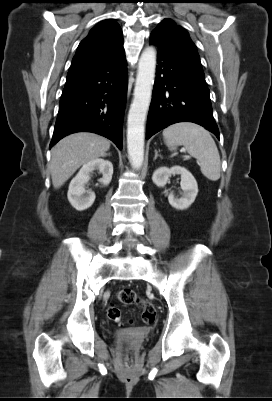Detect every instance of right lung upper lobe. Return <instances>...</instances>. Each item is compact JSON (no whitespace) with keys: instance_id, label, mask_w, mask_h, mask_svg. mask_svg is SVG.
Masks as SVG:
<instances>
[{"instance_id":"right-lung-upper-lobe-1","label":"right lung upper lobe","mask_w":272,"mask_h":401,"mask_svg":"<svg viewBox=\"0 0 272 401\" xmlns=\"http://www.w3.org/2000/svg\"><path fill=\"white\" fill-rule=\"evenodd\" d=\"M122 50L123 39L119 24L112 19L100 22L80 42L67 79L100 66Z\"/></svg>"}]
</instances>
